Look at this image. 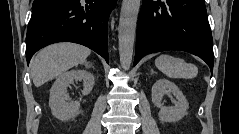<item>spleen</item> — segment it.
Segmentation results:
<instances>
[{
    "label": "spleen",
    "mask_w": 239,
    "mask_h": 134,
    "mask_svg": "<svg viewBox=\"0 0 239 134\" xmlns=\"http://www.w3.org/2000/svg\"><path fill=\"white\" fill-rule=\"evenodd\" d=\"M157 68L169 78L192 79L198 74V68L192 63L169 54H161L156 60Z\"/></svg>",
    "instance_id": "obj_1"
}]
</instances>
